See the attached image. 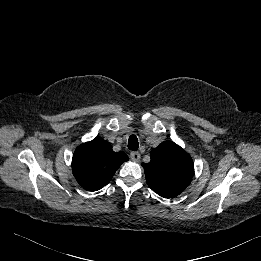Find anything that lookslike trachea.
<instances>
[{"instance_id": "3493384b", "label": "trachea", "mask_w": 261, "mask_h": 261, "mask_svg": "<svg viewBox=\"0 0 261 261\" xmlns=\"http://www.w3.org/2000/svg\"><path fill=\"white\" fill-rule=\"evenodd\" d=\"M138 147V138L136 137V135H131L128 140V148L132 151H137Z\"/></svg>"}]
</instances>
